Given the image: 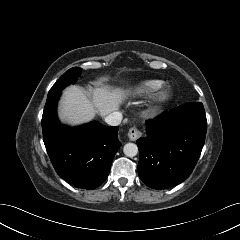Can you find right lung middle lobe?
<instances>
[{
	"label": "right lung middle lobe",
	"mask_w": 240,
	"mask_h": 240,
	"mask_svg": "<svg viewBox=\"0 0 240 240\" xmlns=\"http://www.w3.org/2000/svg\"><path fill=\"white\" fill-rule=\"evenodd\" d=\"M82 69L78 67H73L69 70H67L60 79L53 85V87L50 89L48 96L61 91L65 86L74 83L78 75L81 73Z\"/></svg>",
	"instance_id": "right-lung-middle-lobe-1"
}]
</instances>
